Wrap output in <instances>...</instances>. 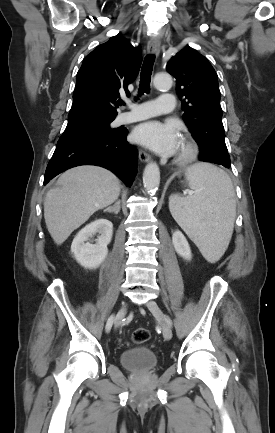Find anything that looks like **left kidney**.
<instances>
[{"label":"left kidney","instance_id":"left-kidney-1","mask_svg":"<svg viewBox=\"0 0 275 433\" xmlns=\"http://www.w3.org/2000/svg\"><path fill=\"white\" fill-rule=\"evenodd\" d=\"M172 242L175 251L184 259L190 260L192 258L190 246L187 239L181 231H175L172 235Z\"/></svg>","mask_w":275,"mask_h":433}]
</instances>
